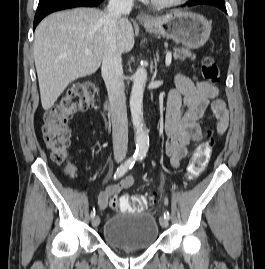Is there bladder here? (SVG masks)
<instances>
[{
	"label": "bladder",
	"mask_w": 265,
	"mask_h": 269,
	"mask_svg": "<svg viewBox=\"0 0 265 269\" xmlns=\"http://www.w3.org/2000/svg\"><path fill=\"white\" fill-rule=\"evenodd\" d=\"M103 236L106 243L120 250H145L158 240L159 230L155 217L148 211L112 215L105 223Z\"/></svg>",
	"instance_id": "bladder-1"
}]
</instances>
